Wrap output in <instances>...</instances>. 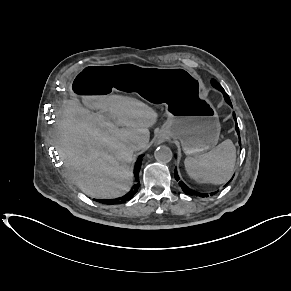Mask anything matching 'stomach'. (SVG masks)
I'll list each match as a JSON object with an SVG mask.
<instances>
[{
  "mask_svg": "<svg viewBox=\"0 0 291 291\" xmlns=\"http://www.w3.org/2000/svg\"><path fill=\"white\" fill-rule=\"evenodd\" d=\"M73 90L81 97L135 92L152 103H163L168 119L160 135L179 140L187 155L207 151L218 143V114L205 96L201 78L184 67L90 66L76 77Z\"/></svg>",
  "mask_w": 291,
  "mask_h": 291,
  "instance_id": "obj_1",
  "label": "stomach"
}]
</instances>
